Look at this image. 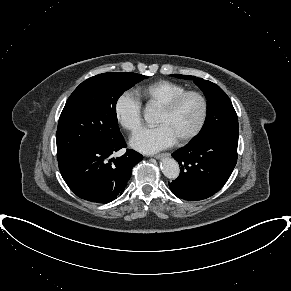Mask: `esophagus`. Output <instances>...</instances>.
I'll list each match as a JSON object with an SVG mask.
<instances>
[{"label": "esophagus", "mask_w": 291, "mask_h": 291, "mask_svg": "<svg viewBox=\"0 0 291 291\" xmlns=\"http://www.w3.org/2000/svg\"><path fill=\"white\" fill-rule=\"evenodd\" d=\"M170 153H161L155 156L156 159H162L164 157H169Z\"/></svg>", "instance_id": "34e87169"}]
</instances>
